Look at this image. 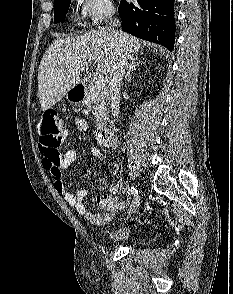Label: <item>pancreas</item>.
<instances>
[{
  "label": "pancreas",
  "mask_w": 233,
  "mask_h": 294,
  "mask_svg": "<svg viewBox=\"0 0 233 294\" xmlns=\"http://www.w3.org/2000/svg\"><path fill=\"white\" fill-rule=\"evenodd\" d=\"M105 98L106 95L101 90L90 88L84 99L86 106L92 110L98 129H103L108 120Z\"/></svg>",
  "instance_id": "pancreas-1"
}]
</instances>
